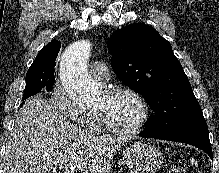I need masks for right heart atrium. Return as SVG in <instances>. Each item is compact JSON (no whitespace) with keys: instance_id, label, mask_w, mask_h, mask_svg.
Returning a JSON list of instances; mask_svg holds the SVG:
<instances>
[{"instance_id":"d8ad5b80","label":"right heart atrium","mask_w":219,"mask_h":173,"mask_svg":"<svg viewBox=\"0 0 219 173\" xmlns=\"http://www.w3.org/2000/svg\"><path fill=\"white\" fill-rule=\"evenodd\" d=\"M51 104L62 116L79 126L90 125V115L79 107L66 93L61 83H56L51 93Z\"/></svg>"}]
</instances>
